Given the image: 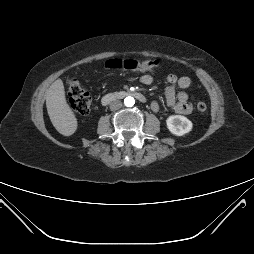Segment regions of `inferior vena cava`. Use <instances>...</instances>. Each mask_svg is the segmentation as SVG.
<instances>
[{
    "label": "inferior vena cava",
    "mask_w": 254,
    "mask_h": 254,
    "mask_svg": "<svg viewBox=\"0 0 254 254\" xmlns=\"http://www.w3.org/2000/svg\"><path fill=\"white\" fill-rule=\"evenodd\" d=\"M122 107V103L121 101H113L111 104H110V110L111 111H116L118 109H120Z\"/></svg>",
    "instance_id": "inferior-vena-cava-1"
}]
</instances>
